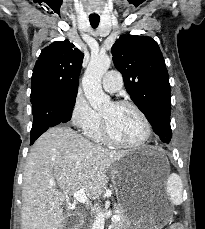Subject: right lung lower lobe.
<instances>
[{
  "label": "right lung lower lobe",
  "instance_id": "1",
  "mask_svg": "<svg viewBox=\"0 0 205 229\" xmlns=\"http://www.w3.org/2000/svg\"><path fill=\"white\" fill-rule=\"evenodd\" d=\"M75 100L67 93H54L32 103L31 145L49 127L71 119Z\"/></svg>",
  "mask_w": 205,
  "mask_h": 229
}]
</instances>
